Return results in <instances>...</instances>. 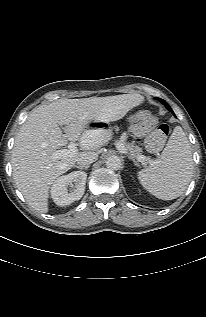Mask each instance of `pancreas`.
Instances as JSON below:
<instances>
[{
  "label": "pancreas",
  "mask_w": 206,
  "mask_h": 317,
  "mask_svg": "<svg viewBox=\"0 0 206 317\" xmlns=\"http://www.w3.org/2000/svg\"><path fill=\"white\" fill-rule=\"evenodd\" d=\"M85 136V135H84ZM119 139L121 140V143L123 144V148L132 156L137 157L141 155V148L138 146H134L133 143L126 142L128 139V136L125 133H122L119 136Z\"/></svg>",
  "instance_id": "pancreas-1"
}]
</instances>
